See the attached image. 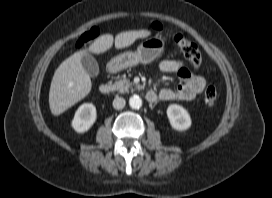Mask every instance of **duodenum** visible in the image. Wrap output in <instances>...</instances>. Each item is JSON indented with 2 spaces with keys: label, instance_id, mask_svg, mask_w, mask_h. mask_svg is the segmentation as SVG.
Wrapping results in <instances>:
<instances>
[{
  "label": "duodenum",
  "instance_id": "410a0bca",
  "mask_svg": "<svg viewBox=\"0 0 272 198\" xmlns=\"http://www.w3.org/2000/svg\"><path fill=\"white\" fill-rule=\"evenodd\" d=\"M113 91V86L109 83H104L100 85L99 92L103 95L110 94ZM146 100L150 103L155 102L157 100V95L154 91H148L145 95Z\"/></svg>",
  "mask_w": 272,
  "mask_h": 198
}]
</instances>
